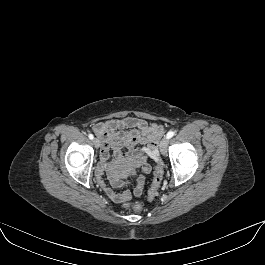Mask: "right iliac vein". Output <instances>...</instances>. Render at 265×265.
Returning a JSON list of instances; mask_svg holds the SVG:
<instances>
[{
  "mask_svg": "<svg viewBox=\"0 0 265 265\" xmlns=\"http://www.w3.org/2000/svg\"><path fill=\"white\" fill-rule=\"evenodd\" d=\"M93 144H94V146H95L96 148H98V147L100 146V141H99V139H98V138H94V139H93Z\"/></svg>",
  "mask_w": 265,
  "mask_h": 265,
  "instance_id": "obj_1",
  "label": "right iliac vein"
}]
</instances>
